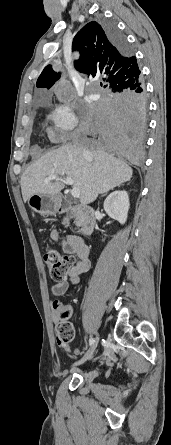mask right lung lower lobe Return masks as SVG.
I'll return each mask as SVG.
<instances>
[{
	"instance_id": "obj_1",
	"label": "right lung lower lobe",
	"mask_w": 171,
	"mask_h": 445,
	"mask_svg": "<svg viewBox=\"0 0 171 445\" xmlns=\"http://www.w3.org/2000/svg\"><path fill=\"white\" fill-rule=\"evenodd\" d=\"M111 43L126 53L124 36L111 22L101 23ZM146 96L141 80L129 89L112 91L88 107L83 133L96 149L137 164L142 160L146 130Z\"/></svg>"
}]
</instances>
